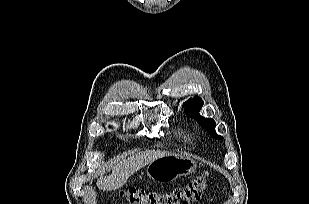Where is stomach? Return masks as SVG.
<instances>
[{
    "label": "stomach",
    "mask_w": 309,
    "mask_h": 204,
    "mask_svg": "<svg viewBox=\"0 0 309 204\" xmlns=\"http://www.w3.org/2000/svg\"><path fill=\"white\" fill-rule=\"evenodd\" d=\"M196 163L189 157L175 154L160 157L147 165V176L153 181L169 182L193 173Z\"/></svg>",
    "instance_id": "1"
}]
</instances>
